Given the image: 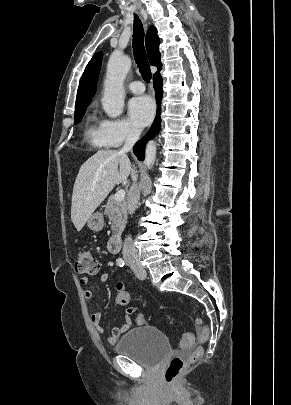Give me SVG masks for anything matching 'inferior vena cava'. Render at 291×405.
Returning a JSON list of instances; mask_svg holds the SVG:
<instances>
[{
	"mask_svg": "<svg viewBox=\"0 0 291 405\" xmlns=\"http://www.w3.org/2000/svg\"><path fill=\"white\" fill-rule=\"evenodd\" d=\"M140 136V131L137 129H129L126 141L124 146L121 148L120 153H126L132 150L134 144L138 141ZM132 185L127 196V210L129 214H133L137 208L139 198H140V189L137 184V173L135 170L131 172ZM123 258L128 262H138V254L135 249L132 238L128 236L123 244Z\"/></svg>",
	"mask_w": 291,
	"mask_h": 405,
	"instance_id": "obj_1",
	"label": "inferior vena cava"
}]
</instances>
